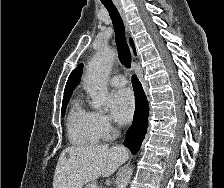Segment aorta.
I'll return each instance as SVG.
<instances>
[{
  "label": "aorta",
  "instance_id": "obj_1",
  "mask_svg": "<svg viewBox=\"0 0 224 188\" xmlns=\"http://www.w3.org/2000/svg\"><path fill=\"white\" fill-rule=\"evenodd\" d=\"M115 53L110 48H104L98 51L90 60L87 68L85 86L87 92L92 98V108L101 110L108 101L107 79L110 74ZM133 169L129 167L118 188H126L132 176Z\"/></svg>",
  "mask_w": 224,
  "mask_h": 188
}]
</instances>
